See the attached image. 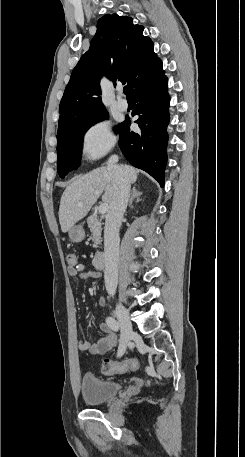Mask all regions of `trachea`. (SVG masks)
<instances>
[{"label": "trachea", "mask_w": 245, "mask_h": 457, "mask_svg": "<svg viewBox=\"0 0 245 457\" xmlns=\"http://www.w3.org/2000/svg\"><path fill=\"white\" fill-rule=\"evenodd\" d=\"M123 92L125 93V95H126L127 97H129V89H128L127 86L124 87Z\"/></svg>", "instance_id": "3493384b"}]
</instances>
